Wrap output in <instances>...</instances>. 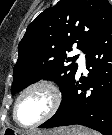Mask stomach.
<instances>
[{
	"instance_id": "0dacf381",
	"label": "stomach",
	"mask_w": 112,
	"mask_h": 135,
	"mask_svg": "<svg viewBox=\"0 0 112 135\" xmlns=\"http://www.w3.org/2000/svg\"><path fill=\"white\" fill-rule=\"evenodd\" d=\"M82 128L78 127H65V128H60L57 130L49 131V132H42V131H34V132H29L27 134H21L17 130H12V129H5L3 132L4 134H9V135H82Z\"/></svg>"
}]
</instances>
